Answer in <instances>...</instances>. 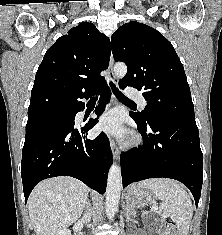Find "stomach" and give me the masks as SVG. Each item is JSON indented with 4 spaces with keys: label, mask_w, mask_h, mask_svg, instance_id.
<instances>
[{
    "label": "stomach",
    "mask_w": 222,
    "mask_h": 235,
    "mask_svg": "<svg viewBox=\"0 0 222 235\" xmlns=\"http://www.w3.org/2000/svg\"><path fill=\"white\" fill-rule=\"evenodd\" d=\"M155 197L147 190L138 189L136 185L131 186L126 194L127 204L131 208L142 207L152 202Z\"/></svg>",
    "instance_id": "0dacf381"
}]
</instances>
